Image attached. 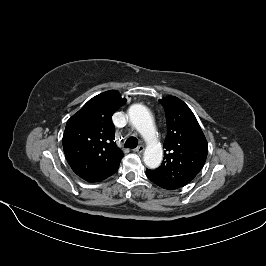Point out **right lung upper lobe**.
Instances as JSON below:
<instances>
[{
    "instance_id": "obj_1",
    "label": "right lung upper lobe",
    "mask_w": 266,
    "mask_h": 266,
    "mask_svg": "<svg viewBox=\"0 0 266 266\" xmlns=\"http://www.w3.org/2000/svg\"><path fill=\"white\" fill-rule=\"evenodd\" d=\"M116 90L90 99L66 124L63 149L72 170L87 182L113 175L123 152L114 142L112 115L126 103Z\"/></svg>"
}]
</instances>
